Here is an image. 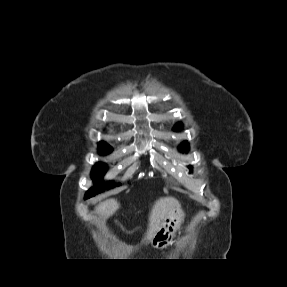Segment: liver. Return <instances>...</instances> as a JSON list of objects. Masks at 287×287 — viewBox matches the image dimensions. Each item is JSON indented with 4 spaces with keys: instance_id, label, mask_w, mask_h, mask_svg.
Segmentation results:
<instances>
[{
    "instance_id": "liver-1",
    "label": "liver",
    "mask_w": 287,
    "mask_h": 287,
    "mask_svg": "<svg viewBox=\"0 0 287 287\" xmlns=\"http://www.w3.org/2000/svg\"><path fill=\"white\" fill-rule=\"evenodd\" d=\"M119 203L115 199H108L100 202L95 207V212L99 214L104 219L112 216L118 209ZM174 211H181V205L177 199L174 197H163L156 200L151 208L149 214V224L148 229L144 238V241L151 242L153 236L160 228L164 218ZM130 251V249H129Z\"/></svg>"
}]
</instances>
